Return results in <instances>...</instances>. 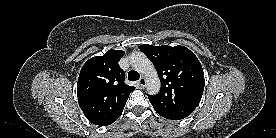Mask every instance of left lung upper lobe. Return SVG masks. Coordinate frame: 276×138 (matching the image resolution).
<instances>
[{"label":"left lung upper lobe","mask_w":276,"mask_h":138,"mask_svg":"<svg viewBox=\"0 0 276 138\" xmlns=\"http://www.w3.org/2000/svg\"><path fill=\"white\" fill-rule=\"evenodd\" d=\"M155 65L161 90L148 98L155 111L166 119L189 116L199 104L204 90V72L197 57L184 46L140 45Z\"/></svg>","instance_id":"5c2ea615"}]
</instances>
